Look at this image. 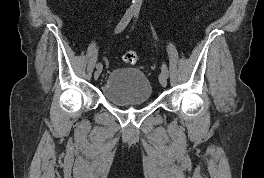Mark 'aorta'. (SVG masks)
Instances as JSON below:
<instances>
[{
    "instance_id": "obj_1",
    "label": "aorta",
    "mask_w": 264,
    "mask_h": 178,
    "mask_svg": "<svg viewBox=\"0 0 264 178\" xmlns=\"http://www.w3.org/2000/svg\"><path fill=\"white\" fill-rule=\"evenodd\" d=\"M142 6V0H132L131 9L133 11L139 12Z\"/></svg>"
}]
</instances>
